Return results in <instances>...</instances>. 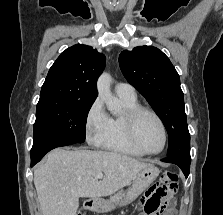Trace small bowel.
Segmentation results:
<instances>
[{
	"label": "small bowel",
	"mask_w": 223,
	"mask_h": 215,
	"mask_svg": "<svg viewBox=\"0 0 223 215\" xmlns=\"http://www.w3.org/2000/svg\"><path fill=\"white\" fill-rule=\"evenodd\" d=\"M175 192L176 188H170L166 184L157 183L150 187L141 200L144 210L143 215H158L150 209L153 205L162 207L165 210L164 215H175L173 200Z\"/></svg>",
	"instance_id": "c3829d8e"
}]
</instances>
